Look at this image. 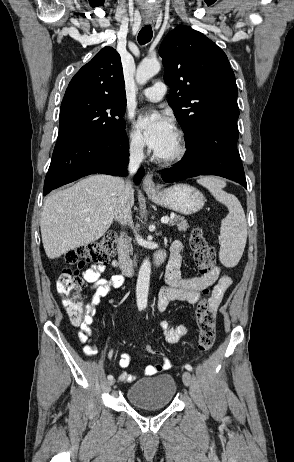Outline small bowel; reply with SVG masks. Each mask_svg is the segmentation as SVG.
Instances as JSON below:
<instances>
[{
	"mask_svg": "<svg viewBox=\"0 0 294 462\" xmlns=\"http://www.w3.org/2000/svg\"><path fill=\"white\" fill-rule=\"evenodd\" d=\"M183 243L179 240L174 241L170 247V257L166 266L165 280L166 286L160 291L156 308L159 312H163L170 303L176 301H185L190 304H197L202 298V292L215 284L210 301L216 310L219 306L225 292L231 286L232 280L230 276L222 272L219 267H214L213 272L209 276H193L184 277L181 273ZM113 267H118V262H112ZM106 264L92 265L83 272V279L91 285L94 293L90 302L85 306L84 321L79 327L78 337L85 344L84 352L87 355H94L97 352L96 346L92 343L91 325L97 313V306L101 299L109 294L112 288H119L124 283V277L120 274H115L110 277H104ZM160 327L164 337L169 343H176L186 335L189 331L188 327L179 325L177 327H169L166 321H161ZM130 363V356L127 352L121 354L119 366L125 370ZM170 361L164 358L161 363L148 365L144 373L147 376H152L169 369ZM119 380L124 382H132L135 376L122 371L119 375Z\"/></svg>",
	"mask_w": 294,
	"mask_h": 462,
	"instance_id": "c3829d8e",
	"label": "small bowel"
}]
</instances>
